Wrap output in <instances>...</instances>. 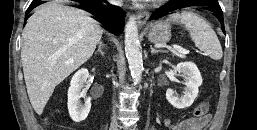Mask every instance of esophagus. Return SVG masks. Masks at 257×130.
Returning <instances> with one entry per match:
<instances>
[{
  "label": "esophagus",
  "mask_w": 257,
  "mask_h": 130,
  "mask_svg": "<svg viewBox=\"0 0 257 130\" xmlns=\"http://www.w3.org/2000/svg\"><path fill=\"white\" fill-rule=\"evenodd\" d=\"M149 18V13L146 12V11H143V12H139L137 14V22L139 25H143L146 23V21L148 20Z\"/></svg>",
  "instance_id": "obj_1"
}]
</instances>
